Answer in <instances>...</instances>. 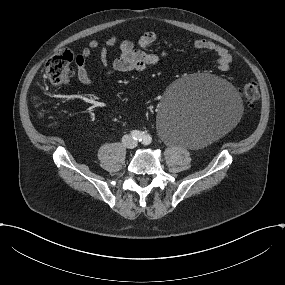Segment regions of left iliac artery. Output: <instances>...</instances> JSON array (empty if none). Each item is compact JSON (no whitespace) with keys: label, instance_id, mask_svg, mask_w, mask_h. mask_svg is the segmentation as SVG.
Returning <instances> with one entry per match:
<instances>
[{"label":"left iliac artery","instance_id":"44dca946","mask_svg":"<svg viewBox=\"0 0 285 285\" xmlns=\"http://www.w3.org/2000/svg\"><path fill=\"white\" fill-rule=\"evenodd\" d=\"M151 143V137L149 135L143 136V144L149 145Z\"/></svg>","mask_w":285,"mask_h":285}]
</instances>
